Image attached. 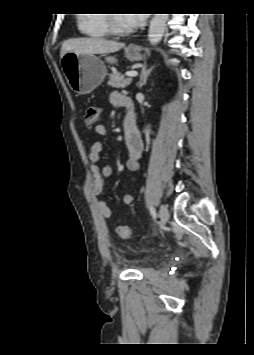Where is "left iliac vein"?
Wrapping results in <instances>:
<instances>
[{
    "label": "left iliac vein",
    "mask_w": 254,
    "mask_h": 355,
    "mask_svg": "<svg viewBox=\"0 0 254 355\" xmlns=\"http://www.w3.org/2000/svg\"><path fill=\"white\" fill-rule=\"evenodd\" d=\"M159 218L161 220L162 225H165L169 220V211L165 205H161L160 207Z\"/></svg>",
    "instance_id": "4c4485c4"
}]
</instances>
